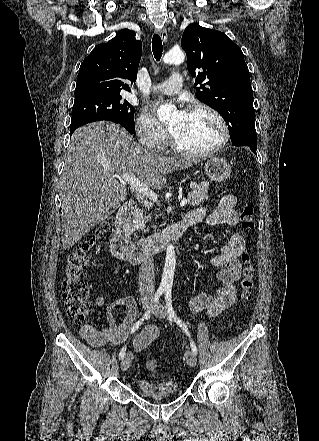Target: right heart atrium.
Returning <instances> with one entry per match:
<instances>
[{
  "label": "right heart atrium",
  "mask_w": 319,
  "mask_h": 441,
  "mask_svg": "<svg viewBox=\"0 0 319 441\" xmlns=\"http://www.w3.org/2000/svg\"><path fill=\"white\" fill-rule=\"evenodd\" d=\"M136 131L139 141L147 149L162 150L167 145L166 130L147 111L138 116Z\"/></svg>",
  "instance_id": "right-heart-atrium-1"
}]
</instances>
